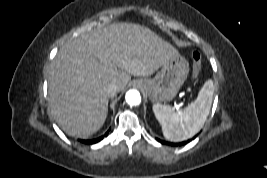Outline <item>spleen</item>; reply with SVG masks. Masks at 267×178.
Segmentation results:
<instances>
[{
	"label": "spleen",
	"instance_id": "3e777b00",
	"mask_svg": "<svg viewBox=\"0 0 267 178\" xmlns=\"http://www.w3.org/2000/svg\"><path fill=\"white\" fill-rule=\"evenodd\" d=\"M214 93V84L207 80L194 102L175 112L168 105L153 104L156 119L162 126L164 137L173 142L187 140L198 133L209 115Z\"/></svg>",
	"mask_w": 267,
	"mask_h": 178
}]
</instances>
